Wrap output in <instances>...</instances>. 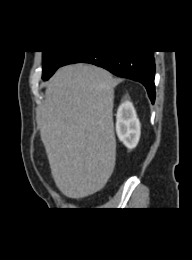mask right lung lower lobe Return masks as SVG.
Listing matches in <instances>:
<instances>
[{
	"label": "right lung lower lobe",
	"instance_id": "right-lung-lower-lobe-1",
	"mask_svg": "<svg viewBox=\"0 0 192 260\" xmlns=\"http://www.w3.org/2000/svg\"><path fill=\"white\" fill-rule=\"evenodd\" d=\"M91 63L111 73L142 83L152 103L155 101V62L153 51H81L72 52L62 66Z\"/></svg>",
	"mask_w": 192,
	"mask_h": 260
}]
</instances>
